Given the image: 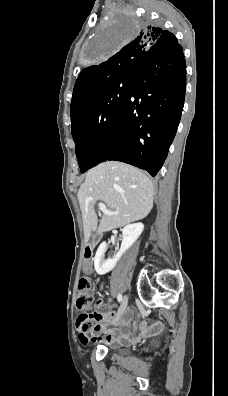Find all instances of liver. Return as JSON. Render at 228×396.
Listing matches in <instances>:
<instances>
[{
	"mask_svg": "<svg viewBox=\"0 0 228 396\" xmlns=\"http://www.w3.org/2000/svg\"><path fill=\"white\" fill-rule=\"evenodd\" d=\"M152 181L139 169L117 161L101 163L87 174L78 190L85 242L95 232L99 234L145 218L153 207ZM118 215L104 214L99 220L97 201Z\"/></svg>",
	"mask_w": 228,
	"mask_h": 396,
	"instance_id": "obj_1",
	"label": "liver"
}]
</instances>
